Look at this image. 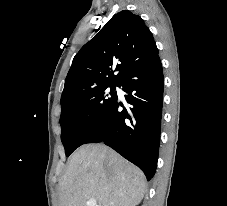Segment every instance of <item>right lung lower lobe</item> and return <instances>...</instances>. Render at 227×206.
<instances>
[{"label":"right lung lower lobe","mask_w":227,"mask_h":206,"mask_svg":"<svg viewBox=\"0 0 227 206\" xmlns=\"http://www.w3.org/2000/svg\"><path fill=\"white\" fill-rule=\"evenodd\" d=\"M163 81L159 56L131 70L119 87L127 93L125 99L132 107L119 111L117 98L85 141L104 142L137 165L148 181L155 174L158 160Z\"/></svg>","instance_id":"98d812e1"}]
</instances>
